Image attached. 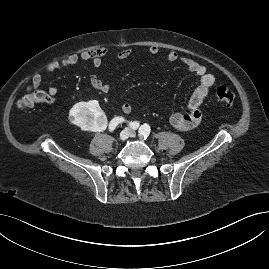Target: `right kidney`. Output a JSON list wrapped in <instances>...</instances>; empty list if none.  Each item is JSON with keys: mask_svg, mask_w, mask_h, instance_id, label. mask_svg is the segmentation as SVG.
<instances>
[{"mask_svg": "<svg viewBox=\"0 0 269 269\" xmlns=\"http://www.w3.org/2000/svg\"><path fill=\"white\" fill-rule=\"evenodd\" d=\"M72 124L84 130L104 131L107 129V119L96 101L80 102L67 113Z\"/></svg>", "mask_w": 269, "mask_h": 269, "instance_id": "obj_1", "label": "right kidney"}]
</instances>
